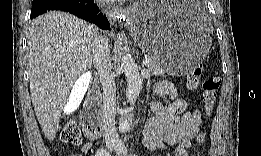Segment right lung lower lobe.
I'll return each instance as SVG.
<instances>
[{
    "label": "right lung lower lobe",
    "mask_w": 261,
    "mask_h": 156,
    "mask_svg": "<svg viewBox=\"0 0 261 156\" xmlns=\"http://www.w3.org/2000/svg\"><path fill=\"white\" fill-rule=\"evenodd\" d=\"M49 10L69 12L93 22L102 29L110 30L108 19L99 13V8L93 0H33L31 17H36Z\"/></svg>",
    "instance_id": "98d812e1"
}]
</instances>
